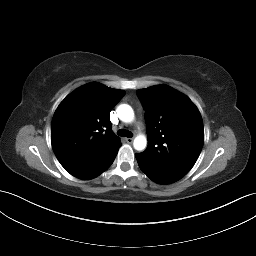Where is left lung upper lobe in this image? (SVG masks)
Here are the masks:
<instances>
[{
    "label": "left lung upper lobe",
    "mask_w": 256,
    "mask_h": 256,
    "mask_svg": "<svg viewBox=\"0 0 256 256\" xmlns=\"http://www.w3.org/2000/svg\"><path fill=\"white\" fill-rule=\"evenodd\" d=\"M145 109L148 147L140 153L153 170L182 178L194 166L204 143L203 121L184 94L166 86L137 92Z\"/></svg>",
    "instance_id": "left-lung-upper-lobe-1"
}]
</instances>
